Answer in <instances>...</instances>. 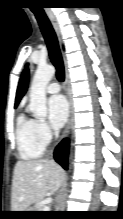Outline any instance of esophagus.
I'll use <instances>...</instances> for the list:
<instances>
[{
  "mask_svg": "<svg viewBox=\"0 0 123 219\" xmlns=\"http://www.w3.org/2000/svg\"><path fill=\"white\" fill-rule=\"evenodd\" d=\"M48 17L51 21V24L58 36L59 42L61 43V36H60V28H59V24L58 21L55 17V15L52 12H47ZM63 60H64V64H65V91H66V95H67V99H68V120H67V124L64 130V137H66L69 132H70V128L72 125V120H73V108H72V99H71V93H70V86H69V75L67 72V67H66V63H65V57L63 55Z\"/></svg>",
  "mask_w": 123,
  "mask_h": 219,
  "instance_id": "obj_1",
  "label": "esophagus"
}]
</instances>
